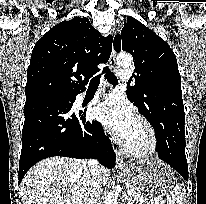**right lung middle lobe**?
I'll list each match as a JSON object with an SVG mask.
<instances>
[{
  "label": "right lung middle lobe",
  "instance_id": "1",
  "mask_svg": "<svg viewBox=\"0 0 206 204\" xmlns=\"http://www.w3.org/2000/svg\"><path fill=\"white\" fill-rule=\"evenodd\" d=\"M50 96H64V95H54V94H52V95H50Z\"/></svg>",
  "mask_w": 206,
  "mask_h": 204
}]
</instances>
